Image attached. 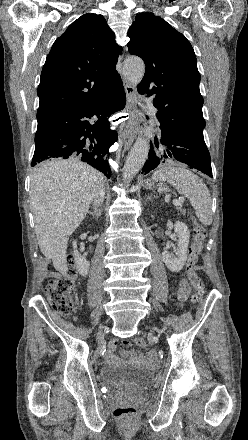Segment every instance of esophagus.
<instances>
[{"instance_id": "34e87169", "label": "esophagus", "mask_w": 248, "mask_h": 440, "mask_svg": "<svg viewBox=\"0 0 248 440\" xmlns=\"http://www.w3.org/2000/svg\"><path fill=\"white\" fill-rule=\"evenodd\" d=\"M123 82L127 98L126 108L128 112V120L122 134V141L124 144V149L127 150L130 148L134 140L132 127L137 116V109L134 103L136 100V90L131 82L127 81L126 79H124Z\"/></svg>"}]
</instances>
